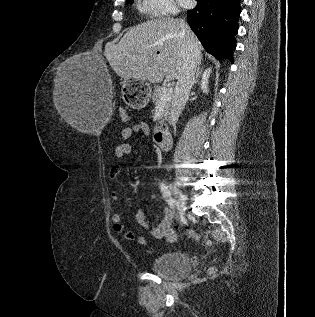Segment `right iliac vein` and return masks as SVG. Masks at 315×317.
I'll use <instances>...</instances> for the list:
<instances>
[{"label":"right iliac vein","mask_w":315,"mask_h":317,"mask_svg":"<svg viewBox=\"0 0 315 317\" xmlns=\"http://www.w3.org/2000/svg\"><path fill=\"white\" fill-rule=\"evenodd\" d=\"M171 190L176 198V204L180 212H184L186 208L185 195L174 185H171Z\"/></svg>","instance_id":"63e3f726"}]
</instances>
